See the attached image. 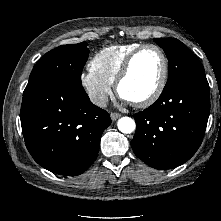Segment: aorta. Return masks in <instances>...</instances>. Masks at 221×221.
Wrapping results in <instances>:
<instances>
[{"label":"aorta","mask_w":221,"mask_h":221,"mask_svg":"<svg viewBox=\"0 0 221 221\" xmlns=\"http://www.w3.org/2000/svg\"><path fill=\"white\" fill-rule=\"evenodd\" d=\"M117 127L120 132L130 134L135 130L136 124L132 118L125 116L118 120Z\"/></svg>","instance_id":"obj_1"}]
</instances>
